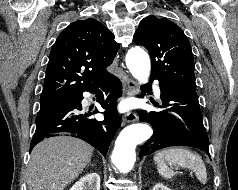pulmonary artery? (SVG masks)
<instances>
[{
    "label": "pulmonary artery",
    "instance_id": "obj_1",
    "mask_svg": "<svg viewBox=\"0 0 238 190\" xmlns=\"http://www.w3.org/2000/svg\"><path fill=\"white\" fill-rule=\"evenodd\" d=\"M154 92H155V95H156V96H159V95H160V89H159L158 86H155Z\"/></svg>",
    "mask_w": 238,
    "mask_h": 190
}]
</instances>
